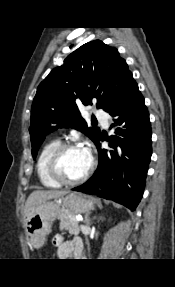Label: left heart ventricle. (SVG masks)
<instances>
[{
  "mask_svg": "<svg viewBox=\"0 0 175 287\" xmlns=\"http://www.w3.org/2000/svg\"><path fill=\"white\" fill-rule=\"evenodd\" d=\"M90 156L82 148H73L64 152L60 159L61 173L68 179H77L90 165Z\"/></svg>",
  "mask_w": 175,
  "mask_h": 287,
  "instance_id": "obj_1",
  "label": "left heart ventricle"
}]
</instances>
